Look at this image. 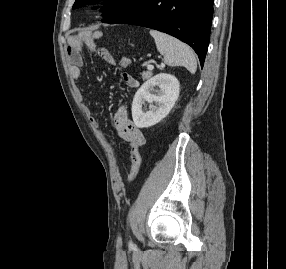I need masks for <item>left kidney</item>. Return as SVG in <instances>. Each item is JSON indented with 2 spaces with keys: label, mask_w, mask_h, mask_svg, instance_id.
<instances>
[{
  "label": "left kidney",
  "mask_w": 286,
  "mask_h": 269,
  "mask_svg": "<svg viewBox=\"0 0 286 269\" xmlns=\"http://www.w3.org/2000/svg\"><path fill=\"white\" fill-rule=\"evenodd\" d=\"M156 86L159 90H154ZM179 92V81L173 75L160 73L147 80L138 89L133 99L132 118L135 126L148 128L159 123L175 105ZM145 102L150 103L148 111L143 109Z\"/></svg>",
  "instance_id": "left-kidney-1"
}]
</instances>
